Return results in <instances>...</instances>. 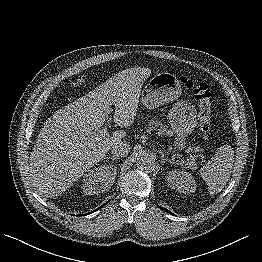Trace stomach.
I'll list each match as a JSON object with an SVG mask.
<instances>
[{"label": "stomach", "mask_w": 262, "mask_h": 262, "mask_svg": "<svg viewBox=\"0 0 262 262\" xmlns=\"http://www.w3.org/2000/svg\"><path fill=\"white\" fill-rule=\"evenodd\" d=\"M181 91V83L177 77L172 73L162 72L150 78L141 93L142 103L148 109L177 101L168 113V121L177 135L175 145L178 148H183L186 137L197 125L194 106L187 102H178Z\"/></svg>", "instance_id": "stomach-1"}]
</instances>
